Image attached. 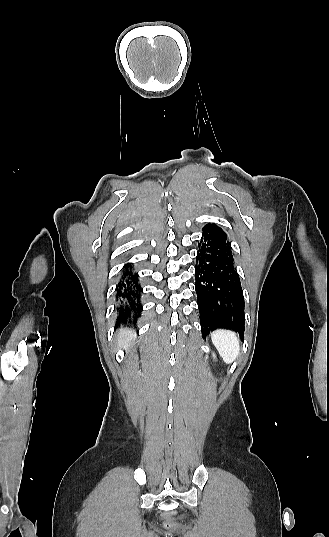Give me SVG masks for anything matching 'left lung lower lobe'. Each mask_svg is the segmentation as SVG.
I'll return each instance as SVG.
<instances>
[{
  "label": "left lung lower lobe",
  "mask_w": 329,
  "mask_h": 537,
  "mask_svg": "<svg viewBox=\"0 0 329 537\" xmlns=\"http://www.w3.org/2000/svg\"><path fill=\"white\" fill-rule=\"evenodd\" d=\"M195 265L201 332L218 328L244 338V296L226 233L215 224L203 228Z\"/></svg>",
  "instance_id": "left-lung-lower-lobe-1"
}]
</instances>
